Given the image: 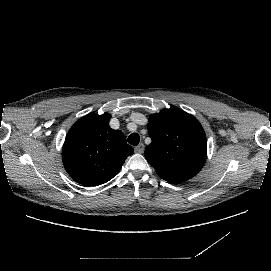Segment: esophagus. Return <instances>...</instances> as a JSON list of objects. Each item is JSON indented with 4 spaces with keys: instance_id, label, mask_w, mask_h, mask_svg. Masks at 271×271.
<instances>
[{
    "instance_id": "1",
    "label": "esophagus",
    "mask_w": 271,
    "mask_h": 271,
    "mask_svg": "<svg viewBox=\"0 0 271 271\" xmlns=\"http://www.w3.org/2000/svg\"><path fill=\"white\" fill-rule=\"evenodd\" d=\"M144 150H145V145H144L143 143L137 145V146L134 148V151H135L136 153H140V154H142V153L144 152Z\"/></svg>"
}]
</instances>
